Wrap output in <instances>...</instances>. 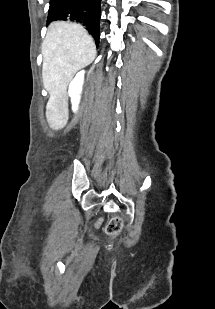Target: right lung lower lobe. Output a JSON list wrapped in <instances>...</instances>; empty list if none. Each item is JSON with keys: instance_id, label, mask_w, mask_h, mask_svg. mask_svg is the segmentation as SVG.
Listing matches in <instances>:
<instances>
[{"instance_id": "obj_1", "label": "right lung lower lobe", "mask_w": 215, "mask_h": 309, "mask_svg": "<svg viewBox=\"0 0 215 309\" xmlns=\"http://www.w3.org/2000/svg\"><path fill=\"white\" fill-rule=\"evenodd\" d=\"M101 0H50L47 24L52 21H73L83 25L99 44Z\"/></svg>"}]
</instances>
